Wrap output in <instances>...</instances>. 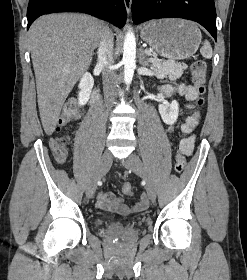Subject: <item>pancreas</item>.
Masks as SVG:
<instances>
[{
    "mask_svg": "<svg viewBox=\"0 0 247 280\" xmlns=\"http://www.w3.org/2000/svg\"><path fill=\"white\" fill-rule=\"evenodd\" d=\"M147 52H152V50H147ZM152 68L158 78L168 76L170 80L174 81L182 76L183 71L187 68V65L175 61L161 60L158 62H152Z\"/></svg>",
    "mask_w": 247,
    "mask_h": 280,
    "instance_id": "1",
    "label": "pancreas"
}]
</instances>
